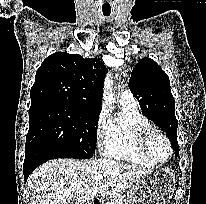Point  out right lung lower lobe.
Returning a JSON list of instances; mask_svg holds the SVG:
<instances>
[{"mask_svg": "<svg viewBox=\"0 0 206 204\" xmlns=\"http://www.w3.org/2000/svg\"><path fill=\"white\" fill-rule=\"evenodd\" d=\"M61 154L53 152L46 148H39L34 151L25 153V160L23 164V173L25 182L28 179V176L32 173L42 163L55 158H62Z\"/></svg>", "mask_w": 206, "mask_h": 204, "instance_id": "98d812e1", "label": "right lung lower lobe"}]
</instances>
